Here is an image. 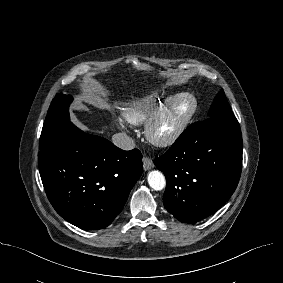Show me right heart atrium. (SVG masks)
Wrapping results in <instances>:
<instances>
[{
  "label": "right heart atrium",
  "instance_id": "right-heart-atrium-1",
  "mask_svg": "<svg viewBox=\"0 0 283 283\" xmlns=\"http://www.w3.org/2000/svg\"><path fill=\"white\" fill-rule=\"evenodd\" d=\"M118 125H119L121 128H126V127H127L126 123L123 122V121H121V120L118 121Z\"/></svg>",
  "mask_w": 283,
  "mask_h": 283
}]
</instances>
